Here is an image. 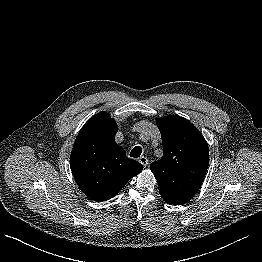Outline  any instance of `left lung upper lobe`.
Listing matches in <instances>:
<instances>
[{
	"label": "left lung upper lobe",
	"mask_w": 262,
	"mask_h": 262,
	"mask_svg": "<svg viewBox=\"0 0 262 262\" xmlns=\"http://www.w3.org/2000/svg\"><path fill=\"white\" fill-rule=\"evenodd\" d=\"M163 157L151 164L162 198L173 205L190 201L200 188L209 164V148L196 127L180 116L156 120Z\"/></svg>",
	"instance_id": "obj_1"
}]
</instances>
